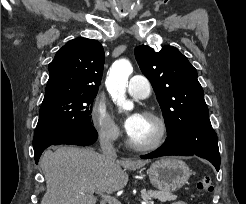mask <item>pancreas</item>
<instances>
[{
    "label": "pancreas",
    "instance_id": "1",
    "mask_svg": "<svg viewBox=\"0 0 246 204\" xmlns=\"http://www.w3.org/2000/svg\"><path fill=\"white\" fill-rule=\"evenodd\" d=\"M141 197L145 201H149L151 199H158L161 202L173 201L177 199L176 195H173L169 191H145L141 192Z\"/></svg>",
    "mask_w": 246,
    "mask_h": 204
}]
</instances>
